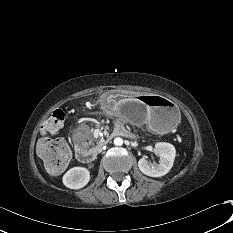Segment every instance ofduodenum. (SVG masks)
Instances as JSON below:
<instances>
[{
	"mask_svg": "<svg viewBox=\"0 0 233 233\" xmlns=\"http://www.w3.org/2000/svg\"><path fill=\"white\" fill-rule=\"evenodd\" d=\"M113 135L119 136H128L129 132L125 130L123 127L117 125L114 128ZM76 156L80 162L89 163L93 161L96 157V152L92 150H87L81 146L76 147Z\"/></svg>",
	"mask_w": 233,
	"mask_h": 233,
	"instance_id": "duodenum-1",
	"label": "duodenum"
}]
</instances>
